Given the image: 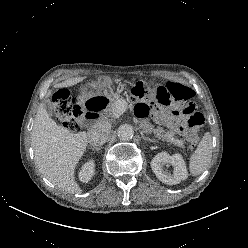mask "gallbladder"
<instances>
[{
    "label": "gallbladder",
    "instance_id": "obj_1",
    "mask_svg": "<svg viewBox=\"0 0 248 248\" xmlns=\"http://www.w3.org/2000/svg\"><path fill=\"white\" fill-rule=\"evenodd\" d=\"M43 106L49 115L53 114V104L49 100L45 101Z\"/></svg>",
    "mask_w": 248,
    "mask_h": 248
}]
</instances>
